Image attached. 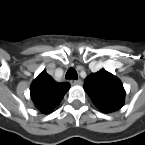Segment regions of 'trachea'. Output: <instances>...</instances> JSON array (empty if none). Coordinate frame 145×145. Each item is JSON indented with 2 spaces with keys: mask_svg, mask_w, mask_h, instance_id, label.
Segmentation results:
<instances>
[{
  "mask_svg": "<svg viewBox=\"0 0 145 145\" xmlns=\"http://www.w3.org/2000/svg\"><path fill=\"white\" fill-rule=\"evenodd\" d=\"M65 78L66 79H74V80H77L78 79V74L76 72V70L74 68H70L66 75H65Z\"/></svg>",
  "mask_w": 145,
  "mask_h": 145,
  "instance_id": "1",
  "label": "trachea"
}]
</instances>
